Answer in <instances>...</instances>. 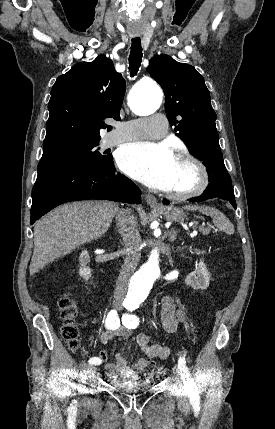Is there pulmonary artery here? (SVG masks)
Masks as SVG:
<instances>
[{"label":"pulmonary artery","mask_w":275,"mask_h":429,"mask_svg":"<svg viewBox=\"0 0 275 429\" xmlns=\"http://www.w3.org/2000/svg\"><path fill=\"white\" fill-rule=\"evenodd\" d=\"M167 133V121L162 114L149 118H140L117 123L115 129L106 138L108 145H114L136 139H159Z\"/></svg>","instance_id":"pulmonary-artery-1"}]
</instances>
